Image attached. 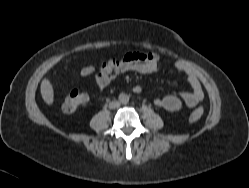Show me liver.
<instances>
[{"mask_svg":"<svg viewBox=\"0 0 249 188\" xmlns=\"http://www.w3.org/2000/svg\"><path fill=\"white\" fill-rule=\"evenodd\" d=\"M40 92L44 102L48 105H52L54 102V89L51 82L44 78L41 82Z\"/></svg>","mask_w":249,"mask_h":188,"instance_id":"obj_1","label":"liver"}]
</instances>
